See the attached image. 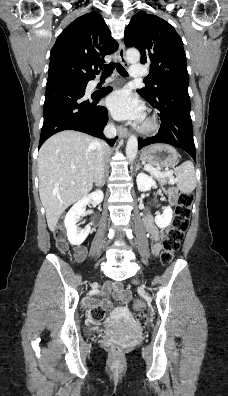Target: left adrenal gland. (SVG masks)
<instances>
[{
	"instance_id": "obj_1",
	"label": "left adrenal gland",
	"mask_w": 228,
	"mask_h": 396,
	"mask_svg": "<svg viewBox=\"0 0 228 396\" xmlns=\"http://www.w3.org/2000/svg\"><path fill=\"white\" fill-rule=\"evenodd\" d=\"M139 168H142V166H141L140 164L137 165V170H138Z\"/></svg>"
}]
</instances>
